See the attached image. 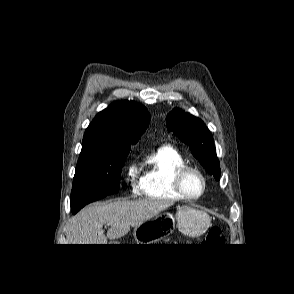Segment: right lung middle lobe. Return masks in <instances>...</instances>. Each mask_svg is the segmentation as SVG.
Wrapping results in <instances>:
<instances>
[{
	"label": "right lung middle lobe",
	"mask_w": 294,
	"mask_h": 294,
	"mask_svg": "<svg viewBox=\"0 0 294 294\" xmlns=\"http://www.w3.org/2000/svg\"><path fill=\"white\" fill-rule=\"evenodd\" d=\"M129 152L122 149L81 150L71 192L72 209L117 193Z\"/></svg>",
	"instance_id": "dd1d6c3e"
}]
</instances>
